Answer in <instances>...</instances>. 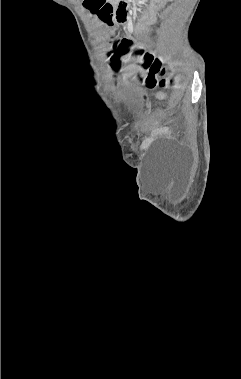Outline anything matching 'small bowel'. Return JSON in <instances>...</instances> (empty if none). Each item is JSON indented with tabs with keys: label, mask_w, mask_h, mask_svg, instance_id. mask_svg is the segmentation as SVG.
I'll return each instance as SVG.
<instances>
[{
	"label": "small bowel",
	"mask_w": 241,
	"mask_h": 379,
	"mask_svg": "<svg viewBox=\"0 0 241 379\" xmlns=\"http://www.w3.org/2000/svg\"><path fill=\"white\" fill-rule=\"evenodd\" d=\"M148 92L149 93H154L155 92V87L154 86H149L148 87ZM159 96L160 97H164V94L160 93ZM139 105L143 106V108H146V106L148 105V100H147V96L146 95H141L140 96Z\"/></svg>",
	"instance_id": "small-bowel-1"
}]
</instances>
